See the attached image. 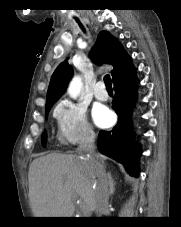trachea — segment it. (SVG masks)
I'll list each match as a JSON object with an SVG mask.
<instances>
[{"label": "trachea", "mask_w": 181, "mask_h": 227, "mask_svg": "<svg viewBox=\"0 0 181 227\" xmlns=\"http://www.w3.org/2000/svg\"><path fill=\"white\" fill-rule=\"evenodd\" d=\"M80 26L82 27V25L80 24ZM104 83L107 89H112V83H111V78L110 75H105L104 76Z\"/></svg>", "instance_id": "obj_1"}]
</instances>
